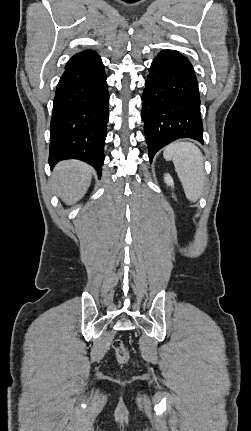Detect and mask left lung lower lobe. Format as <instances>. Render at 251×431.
<instances>
[{"label":"left lung lower lobe","instance_id":"0a47b994","mask_svg":"<svg viewBox=\"0 0 251 431\" xmlns=\"http://www.w3.org/2000/svg\"><path fill=\"white\" fill-rule=\"evenodd\" d=\"M142 95V119L149 159L178 138L203 143L200 95L194 69L183 55L162 51L149 69Z\"/></svg>","mask_w":251,"mask_h":431}]
</instances>
